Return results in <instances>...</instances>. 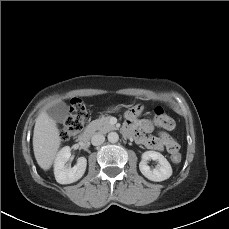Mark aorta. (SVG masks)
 Wrapping results in <instances>:
<instances>
[{"instance_id":"aorta-1","label":"aorta","mask_w":229,"mask_h":229,"mask_svg":"<svg viewBox=\"0 0 229 229\" xmlns=\"http://www.w3.org/2000/svg\"><path fill=\"white\" fill-rule=\"evenodd\" d=\"M107 138L110 143H116L119 140V135L116 132H110Z\"/></svg>"}]
</instances>
